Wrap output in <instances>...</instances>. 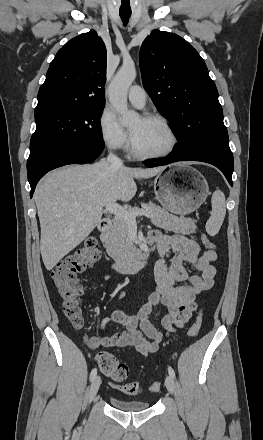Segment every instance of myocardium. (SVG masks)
<instances>
[{
    "label": "myocardium",
    "instance_id": "1",
    "mask_svg": "<svg viewBox=\"0 0 263 440\" xmlns=\"http://www.w3.org/2000/svg\"><path fill=\"white\" fill-rule=\"evenodd\" d=\"M142 119L147 120V121H155V122H158L161 125H163L170 135V139H171L170 144L163 151L146 153V152H142V151L138 150L136 148V146L134 145V142L131 138V141H130L131 154L134 157L141 158V159H156V158H163V157H167V156L171 155L176 150V148L179 144L178 134H177L175 128L173 127V125L171 124V122L167 118H165L159 114H147V115H144L142 117Z\"/></svg>",
    "mask_w": 263,
    "mask_h": 440
}]
</instances>
